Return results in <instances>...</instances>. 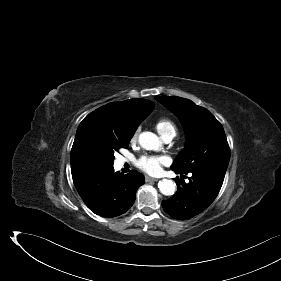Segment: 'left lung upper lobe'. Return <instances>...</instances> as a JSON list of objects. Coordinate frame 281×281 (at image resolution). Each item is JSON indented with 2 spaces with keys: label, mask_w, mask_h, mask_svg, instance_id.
I'll return each instance as SVG.
<instances>
[{
  "label": "left lung upper lobe",
  "mask_w": 281,
  "mask_h": 281,
  "mask_svg": "<svg viewBox=\"0 0 281 281\" xmlns=\"http://www.w3.org/2000/svg\"><path fill=\"white\" fill-rule=\"evenodd\" d=\"M184 125L187 144L171 168L193 172L206 168L227 170L230 149L220 122L205 108L177 96H157Z\"/></svg>",
  "instance_id": "obj_1"
}]
</instances>
